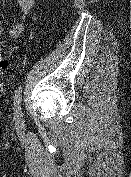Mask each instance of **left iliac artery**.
I'll return each mask as SVG.
<instances>
[{
	"label": "left iliac artery",
	"mask_w": 131,
	"mask_h": 177,
	"mask_svg": "<svg viewBox=\"0 0 131 177\" xmlns=\"http://www.w3.org/2000/svg\"><path fill=\"white\" fill-rule=\"evenodd\" d=\"M21 101H22V86H19L16 89L15 94H14V110H15L16 114L20 113V110H21V107H20Z\"/></svg>",
	"instance_id": "obj_1"
}]
</instances>
